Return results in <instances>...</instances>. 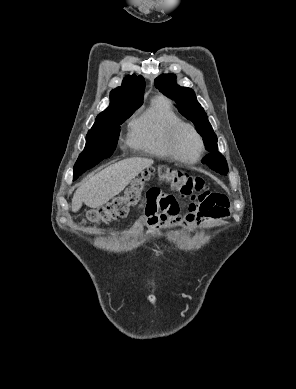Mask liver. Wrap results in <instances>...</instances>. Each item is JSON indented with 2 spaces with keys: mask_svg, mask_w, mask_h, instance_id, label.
<instances>
[{
  "mask_svg": "<svg viewBox=\"0 0 296 389\" xmlns=\"http://www.w3.org/2000/svg\"><path fill=\"white\" fill-rule=\"evenodd\" d=\"M153 163L152 159L133 157L114 163L89 177L74 193L72 211H79L83 203L90 208L103 206Z\"/></svg>",
  "mask_w": 296,
  "mask_h": 389,
  "instance_id": "6515ba94",
  "label": "liver"
}]
</instances>
